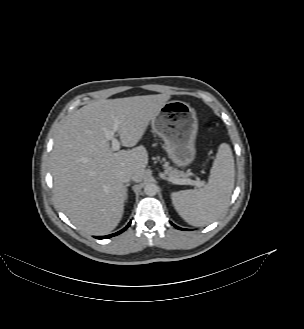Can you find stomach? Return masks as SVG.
I'll list each match as a JSON object with an SVG mask.
<instances>
[{"mask_svg": "<svg viewBox=\"0 0 304 329\" xmlns=\"http://www.w3.org/2000/svg\"><path fill=\"white\" fill-rule=\"evenodd\" d=\"M151 126L163 139L164 150L177 167L184 168L194 161L198 120L189 104L178 100L166 102L151 120Z\"/></svg>", "mask_w": 304, "mask_h": 329, "instance_id": "0dacf381", "label": "stomach"}]
</instances>
